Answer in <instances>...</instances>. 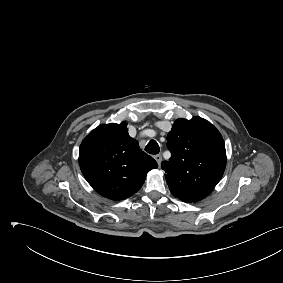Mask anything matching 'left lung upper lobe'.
<instances>
[{"instance_id": "1", "label": "left lung upper lobe", "mask_w": 283, "mask_h": 283, "mask_svg": "<svg viewBox=\"0 0 283 283\" xmlns=\"http://www.w3.org/2000/svg\"><path fill=\"white\" fill-rule=\"evenodd\" d=\"M171 152L161 168L172 195L195 203L207 197L223 176L226 150L220 132L207 120L178 119L167 136Z\"/></svg>"}]
</instances>
